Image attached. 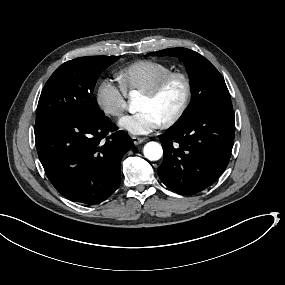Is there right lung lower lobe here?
<instances>
[{"instance_id": "1", "label": "right lung lower lobe", "mask_w": 285, "mask_h": 285, "mask_svg": "<svg viewBox=\"0 0 285 285\" xmlns=\"http://www.w3.org/2000/svg\"><path fill=\"white\" fill-rule=\"evenodd\" d=\"M111 120L59 114L35 124V140L45 173L65 198L88 205L110 197L120 183L123 155L133 147Z\"/></svg>"}]
</instances>
